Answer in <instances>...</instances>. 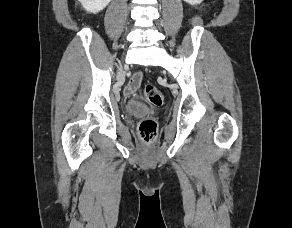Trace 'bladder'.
Returning <instances> with one entry per match:
<instances>
[{
    "instance_id": "31cf9c89",
    "label": "bladder",
    "mask_w": 292,
    "mask_h": 228,
    "mask_svg": "<svg viewBox=\"0 0 292 228\" xmlns=\"http://www.w3.org/2000/svg\"><path fill=\"white\" fill-rule=\"evenodd\" d=\"M126 111L127 113L131 114V115H146V114H149L151 112V110L141 104V103H138L136 101H131L129 102L127 105H126Z\"/></svg>"
}]
</instances>
